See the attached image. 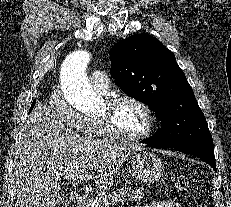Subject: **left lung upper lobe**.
<instances>
[{
  "mask_svg": "<svg viewBox=\"0 0 231 207\" xmlns=\"http://www.w3.org/2000/svg\"><path fill=\"white\" fill-rule=\"evenodd\" d=\"M111 74L123 92L147 104L162 121L148 141L181 147L213 145L207 121L174 54L148 34L118 42L110 50Z\"/></svg>",
  "mask_w": 231,
  "mask_h": 207,
  "instance_id": "left-lung-upper-lobe-1",
  "label": "left lung upper lobe"
}]
</instances>
